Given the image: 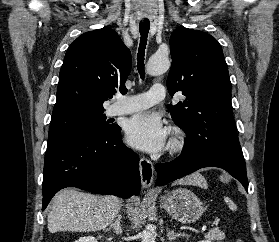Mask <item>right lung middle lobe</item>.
<instances>
[{
    "label": "right lung middle lobe",
    "mask_w": 279,
    "mask_h": 242,
    "mask_svg": "<svg viewBox=\"0 0 279 242\" xmlns=\"http://www.w3.org/2000/svg\"><path fill=\"white\" fill-rule=\"evenodd\" d=\"M104 111L74 110L52 114L47 149L76 139H94L113 132Z\"/></svg>",
    "instance_id": "obj_1"
}]
</instances>
